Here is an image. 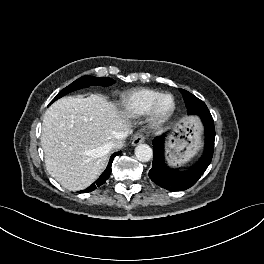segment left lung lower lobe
<instances>
[{
  "instance_id": "0a47b994",
  "label": "left lung lower lobe",
  "mask_w": 264,
  "mask_h": 264,
  "mask_svg": "<svg viewBox=\"0 0 264 264\" xmlns=\"http://www.w3.org/2000/svg\"><path fill=\"white\" fill-rule=\"evenodd\" d=\"M197 115L202 119L205 126L206 144L203 157L191 170L177 172L174 169L167 167L164 162L163 137H156L154 139V158L152 168L148 175L158 186L171 191L186 190L198 181L211 163L215 140L214 121L209 111Z\"/></svg>"
}]
</instances>
